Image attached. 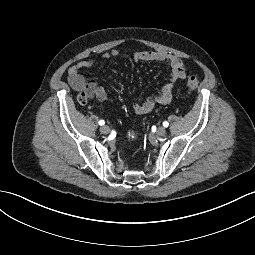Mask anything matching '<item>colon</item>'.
Instances as JSON below:
<instances>
[{
    "mask_svg": "<svg viewBox=\"0 0 255 255\" xmlns=\"http://www.w3.org/2000/svg\"><path fill=\"white\" fill-rule=\"evenodd\" d=\"M199 85V79L196 76H190L187 79L186 86L189 91H194L197 89ZM78 100L81 104H85L87 102V95L85 92L80 93Z\"/></svg>",
    "mask_w": 255,
    "mask_h": 255,
    "instance_id": "colon-1",
    "label": "colon"
}]
</instances>
